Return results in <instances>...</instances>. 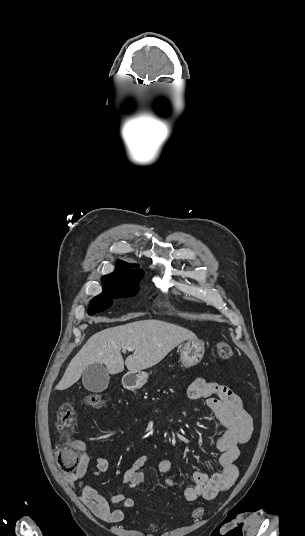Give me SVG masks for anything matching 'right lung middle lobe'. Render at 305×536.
Listing matches in <instances>:
<instances>
[{
	"mask_svg": "<svg viewBox=\"0 0 305 536\" xmlns=\"http://www.w3.org/2000/svg\"><path fill=\"white\" fill-rule=\"evenodd\" d=\"M137 281H102L103 293L90 301L89 315L102 312L111 307L113 299L134 296L139 290Z\"/></svg>",
	"mask_w": 305,
	"mask_h": 536,
	"instance_id": "1",
	"label": "right lung middle lobe"
}]
</instances>
